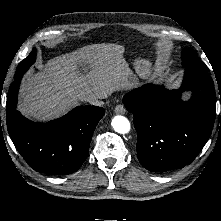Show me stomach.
Returning <instances> with one entry per match:
<instances>
[{
  "mask_svg": "<svg viewBox=\"0 0 221 221\" xmlns=\"http://www.w3.org/2000/svg\"><path fill=\"white\" fill-rule=\"evenodd\" d=\"M134 67L138 75L142 78H147L150 74L151 63L145 59L136 60Z\"/></svg>",
  "mask_w": 221,
  "mask_h": 221,
  "instance_id": "0dacf381",
  "label": "stomach"
}]
</instances>
